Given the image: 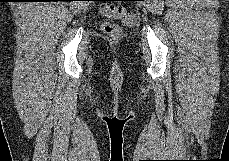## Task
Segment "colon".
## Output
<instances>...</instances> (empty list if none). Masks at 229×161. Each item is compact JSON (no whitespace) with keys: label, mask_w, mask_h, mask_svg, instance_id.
Here are the masks:
<instances>
[{"label":"colon","mask_w":229,"mask_h":161,"mask_svg":"<svg viewBox=\"0 0 229 161\" xmlns=\"http://www.w3.org/2000/svg\"><path fill=\"white\" fill-rule=\"evenodd\" d=\"M101 13L108 17H120L126 14V9L123 5L102 4L100 7ZM103 32L112 38H118L121 35V29L115 23L104 21L101 24Z\"/></svg>","instance_id":"obj_1"}]
</instances>
